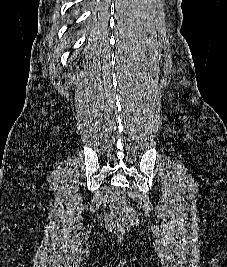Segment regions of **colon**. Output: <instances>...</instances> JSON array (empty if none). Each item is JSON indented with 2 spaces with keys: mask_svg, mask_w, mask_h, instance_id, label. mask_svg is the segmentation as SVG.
Here are the masks:
<instances>
[{
  "mask_svg": "<svg viewBox=\"0 0 227 267\" xmlns=\"http://www.w3.org/2000/svg\"><path fill=\"white\" fill-rule=\"evenodd\" d=\"M138 223L136 212L127 205L125 195L116 191L111 197L110 212L106 218L108 228L115 233H123Z\"/></svg>",
  "mask_w": 227,
  "mask_h": 267,
  "instance_id": "5ec220e1",
  "label": "colon"
}]
</instances>
